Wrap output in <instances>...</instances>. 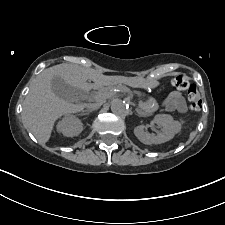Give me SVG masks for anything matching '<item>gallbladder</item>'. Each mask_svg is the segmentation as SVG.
<instances>
[{"instance_id":"obj_1","label":"gallbladder","mask_w":225,"mask_h":225,"mask_svg":"<svg viewBox=\"0 0 225 225\" xmlns=\"http://www.w3.org/2000/svg\"><path fill=\"white\" fill-rule=\"evenodd\" d=\"M52 91L56 96L67 101H72L80 91L66 83L60 76H54L51 81Z\"/></svg>"}]
</instances>
